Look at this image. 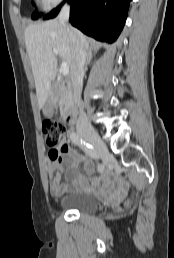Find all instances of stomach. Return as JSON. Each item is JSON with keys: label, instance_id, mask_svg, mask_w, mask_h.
Here are the masks:
<instances>
[{"label": "stomach", "instance_id": "obj_1", "mask_svg": "<svg viewBox=\"0 0 174 258\" xmlns=\"http://www.w3.org/2000/svg\"><path fill=\"white\" fill-rule=\"evenodd\" d=\"M44 113H45V114H48V110H47L46 108L44 109Z\"/></svg>", "mask_w": 174, "mask_h": 258}]
</instances>
